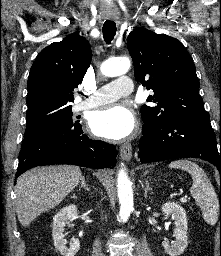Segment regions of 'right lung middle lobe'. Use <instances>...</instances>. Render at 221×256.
<instances>
[{"label":"right lung middle lobe","mask_w":221,"mask_h":256,"mask_svg":"<svg viewBox=\"0 0 221 256\" xmlns=\"http://www.w3.org/2000/svg\"><path fill=\"white\" fill-rule=\"evenodd\" d=\"M72 116V106H44L27 111L24 138L50 126L77 122Z\"/></svg>","instance_id":"dd1d6c3e"}]
</instances>
